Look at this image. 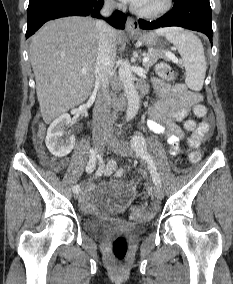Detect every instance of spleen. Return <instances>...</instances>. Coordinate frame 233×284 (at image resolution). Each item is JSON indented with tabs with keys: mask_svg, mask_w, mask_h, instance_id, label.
<instances>
[{
	"mask_svg": "<svg viewBox=\"0 0 233 284\" xmlns=\"http://www.w3.org/2000/svg\"><path fill=\"white\" fill-rule=\"evenodd\" d=\"M157 33L165 35L166 39L178 49L186 71V85L193 91H200L207 69L200 39L193 33L178 27L159 29Z\"/></svg>",
	"mask_w": 233,
	"mask_h": 284,
	"instance_id": "3e777b00",
	"label": "spleen"
}]
</instances>
